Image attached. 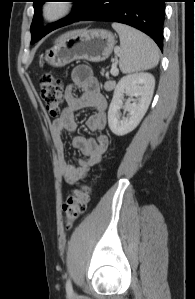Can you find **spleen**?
I'll use <instances>...</instances> for the list:
<instances>
[{"label": "spleen", "instance_id": "obj_1", "mask_svg": "<svg viewBox=\"0 0 195 299\" xmlns=\"http://www.w3.org/2000/svg\"><path fill=\"white\" fill-rule=\"evenodd\" d=\"M112 27L119 34V67L122 73H133L152 69L159 62V48L144 33L121 23Z\"/></svg>", "mask_w": 195, "mask_h": 299}]
</instances>
